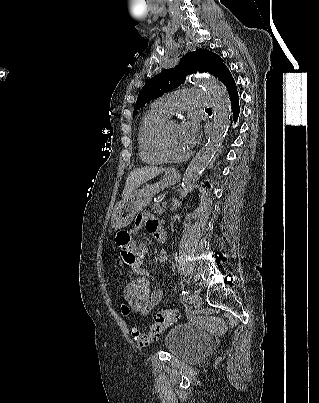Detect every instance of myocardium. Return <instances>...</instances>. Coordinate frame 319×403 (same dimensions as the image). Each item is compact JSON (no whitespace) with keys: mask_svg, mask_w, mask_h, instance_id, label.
Instances as JSON below:
<instances>
[{"mask_svg":"<svg viewBox=\"0 0 319 403\" xmlns=\"http://www.w3.org/2000/svg\"><path fill=\"white\" fill-rule=\"evenodd\" d=\"M174 124H179L178 120L175 118H168L165 122L162 123V125L156 132V136L154 139V148L156 153L163 161L178 163L187 160L191 155V151L188 150L186 153L180 156H173L169 154L168 151L166 150L165 135L168 129Z\"/></svg>","mask_w":319,"mask_h":403,"instance_id":"myocardium-1","label":"myocardium"}]
</instances>
